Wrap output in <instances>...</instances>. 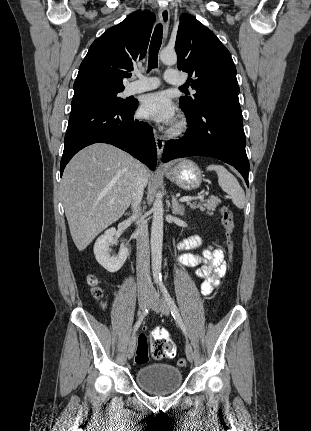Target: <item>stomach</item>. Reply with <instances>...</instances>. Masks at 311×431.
<instances>
[{
    "label": "stomach",
    "mask_w": 311,
    "mask_h": 431,
    "mask_svg": "<svg viewBox=\"0 0 311 431\" xmlns=\"http://www.w3.org/2000/svg\"><path fill=\"white\" fill-rule=\"evenodd\" d=\"M166 178L182 190H196L202 184L203 172L195 162L180 160L174 168L168 170Z\"/></svg>",
    "instance_id": "obj_1"
}]
</instances>
